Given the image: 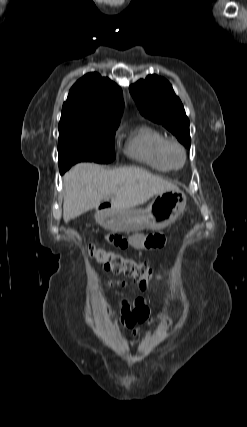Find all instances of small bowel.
I'll list each match as a JSON object with an SVG mask.
<instances>
[{"label":"small bowel","mask_w":247,"mask_h":427,"mask_svg":"<svg viewBox=\"0 0 247 427\" xmlns=\"http://www.w3.org/2000/svg\"><path fill=\"white\" fill-rule=\"evenodd\" d=\"M108 244L114 246L115 249L125 250L128 247V239L120 236L117 232H108ZM130 244L136 248H162L165 245V237L162 234H136L131 237ZM125 286V282L119 283ZM121 324L133 330V334H137L144 326L152 322L151 312L143 298H136L134 301L122 300L121 301ZM141 324L142 327H136Z\"/></svg>","instance_id":"c3829d8e"}]
</instances>
